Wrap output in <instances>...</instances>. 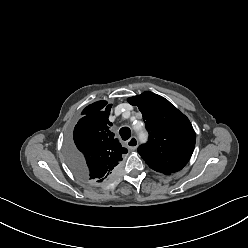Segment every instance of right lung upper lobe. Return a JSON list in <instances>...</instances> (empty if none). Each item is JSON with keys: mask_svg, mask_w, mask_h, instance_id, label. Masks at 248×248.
Masks as SVG:
<instances>
[{"mask_svg": "<svg viewBox=\"0 0 248 248\" xmlns=\"http://www.w3.org/2000/svg\"><path fill=\"white\" fill-rule=\"evenodd\" d=\"M110 109L111 104L107 105L106 101L89 105L83 110L84 116L74 129V148L80 155L77 174L87 181L104 178L98 183L106 182L110 172L119 168L127 153V149L121 146L110 130Z\"/></svg>", "mask_w": 248, "mask_h": 248, "instance_id": "obj_1", "label": "right lung upper lobe"}]
</instances>
